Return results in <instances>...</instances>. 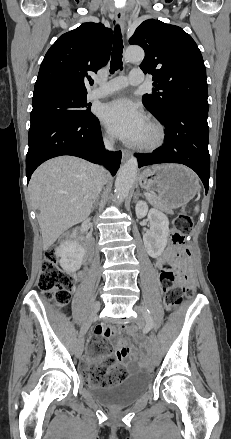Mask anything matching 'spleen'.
Listing matches in <instances>:
<instances>
[{"label": "spleen", "instance_id": "1", "mask_svg": "<svg viewBox=\"0 0 231 439\" xmlns=\"http://www.w3.org/2000/svg\"><path fill=\"white\" fill-rule=\"evenodd\" d=\"M198 210H199V207H198V206H196V207H195V211H196V212H198Z\"/></svg>", "mask_w": 231, "mask_h": 439}]
</instances>
